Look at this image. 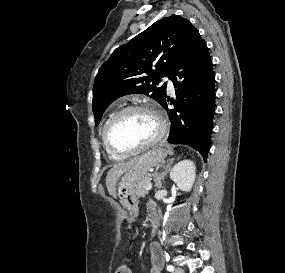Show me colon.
I'll list each match as a JSON object with an SVG mask.
<instances>
[{"instance_id":"5ec220e1","label":"colon","mask_w":285,"mask_h":273,"mask_svg":"<svg viewBox=\"0 0 285 273\" xmlns=\"http://www.w3.org/2000/svg\"><path fill=\"white\" fill-rule=\"evenodd\" d=\"M126 272H127V269L123 265H121L117 268L115 273H126Z\"/></svg>"}]
</instances>
